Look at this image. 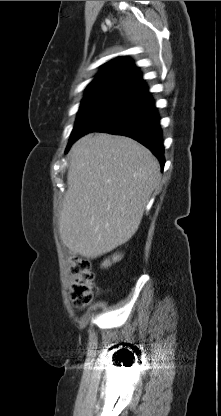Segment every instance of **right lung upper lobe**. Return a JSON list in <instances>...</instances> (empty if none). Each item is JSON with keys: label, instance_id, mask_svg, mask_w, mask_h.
Returning <instances> with one entry per match:
<instances>
[{"label": "right lung upper lobe", "instance_id": "obj_1", "mask_svg": "<svg viewBox=\"0 0 221 416\" xmlns=\"http://www.w3.org/2000/svg\"><path fill=\"white\" fill-rule=\"evenodd\" d=\"M86 90V97L107 94L127 98L147 90V86L133 62L125 57H118L104 65Z\"/></svg>", "mask_w": 221, "mask_h": 416}]
</instances>
